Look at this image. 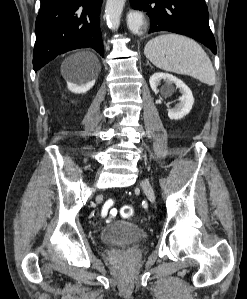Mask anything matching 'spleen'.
I'll return each mask as SVG.
<instances>
[{"instance_id": "spleen-1", "label": "spleen", "mask_w": 247, "mask_h": 299, "mask_svg": "<svg viewBox=\"0 0 247 299\" xmlns=\"http://www.w3.org/2000/svg\"><path fill=\"white\" fill-rule=\"evenodd\" d=\"M145 56L156 67L177 74L189 75L214 85L215 71L204 49L193 39L182 35H159L145 45Z\"/></svg>"}]
</instances>
